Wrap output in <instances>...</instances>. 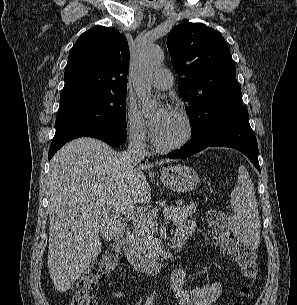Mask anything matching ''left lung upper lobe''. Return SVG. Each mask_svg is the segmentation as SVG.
Masks as SVG:
<instances>
[{
	"label": "left lung upper lobe",
	"mask_w": 297,
	"mask_h": 305,
	"mask_svg": "<svg viewBox=\"0 0 297 305\" xmlns=\"http://www.w3.org/2000/svg\"><path fill=\"white\" fill-rule=\"evenodd\" d=\"M172 65L182 76L178 91L197 136L212 119L243 106L236 68L220 34L202 23H184L169 33Z\"/></svg>",
	"instance_id": "1"
}]
</instances>
